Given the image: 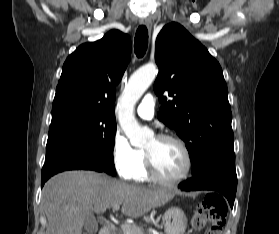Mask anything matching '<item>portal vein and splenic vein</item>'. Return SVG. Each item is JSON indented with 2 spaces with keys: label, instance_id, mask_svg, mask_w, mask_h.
Returning <instances> with one entry per match:
<instances>
[{
  "label": "portal vein and splenic vein",
  "instance_id": "portal-vein-and-splenic-vein-1",
  "mask_svg": "<svg viewBox=\"0 0 279 234\" xmlns=\"http://www.w3.org/2000/svg\"><path fill=\"white\" fill-rule=\"evenodd\" d=\"M112 208H113V211H116L120 208V204H115L112 206ZM121 229L126 231L128 234L131 231V228L128 224H121Z\"/></svg>",
  "mask_w": 279,
  "mask_h": 234
}]
</instances>
